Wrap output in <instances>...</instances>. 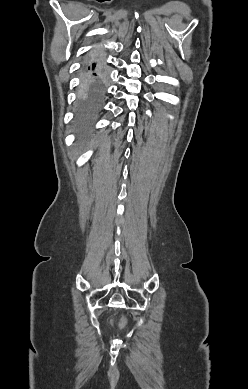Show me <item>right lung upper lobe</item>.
<instances>
[{"mask_svg":"<svg viewBox=\"0 0 248 389\" xmlns=\"http://www.w3.org/2000/svg\"><path fill=\"white\" fill-rule=\"evenodd\" d=\"M96 62H101L99 58L93 59Z\"/></svg>","mask_w":248,"mask_h":389,"instance_id":"obj_1","label":"right lung upper lobe"}]
</instances>
